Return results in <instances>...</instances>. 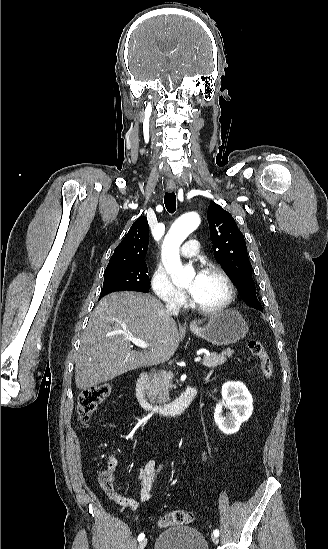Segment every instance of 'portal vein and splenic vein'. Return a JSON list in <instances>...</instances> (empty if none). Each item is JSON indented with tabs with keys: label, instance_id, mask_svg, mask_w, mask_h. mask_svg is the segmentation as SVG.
Returning <instances> with one entry per match:
<instances>
[{
	"label": "portal vein and splenic vein",
	"instance_id": "obj_1",
	"mask_svg": "<svg viewBox=\"0 0 328 549\" xmlns=\"http://www.w3.org/2000/svg\"><path fill=\"white\" fill-rule=\"evenodd\" d=\"M129 341H131L133 345H136V347H141V349H147V345L145 341H140V339H129ZM200 359H201V356H197V358H195V361H200Z\"/></svg>",
	"mask_w": 328,
	"mask_h": 549
}]
</instances>
